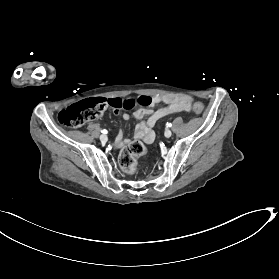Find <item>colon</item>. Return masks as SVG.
I'll list each match as a JSON object with an SVG mask.
<instances>
[{"label": "colon", "instance_id": "colon-1", "mask_svg": "<svg viewBox=\"0 0 279 279\" xmlns=\"http://www.w3.org/2000/svg\"><path fill=\"white\" fill-rule=\"evenodd\" d=\"M154 97L139 96L137 98H94L73 104L62 110L58 119L68 127H80L89 120L101 116L108 107L114 109H132L136 105L148 107L153 105ZM204 107L196 102L192 106L195 114H201ZM145 153V146L140 141H134L124 148L119 156V164L126 173L136 170V159Z\"/></svg>", "mask_w": 279, "mask_h": 279}]
</instances>
